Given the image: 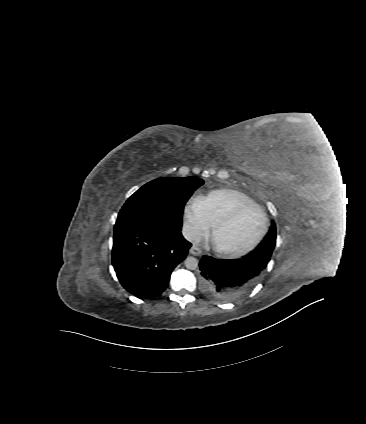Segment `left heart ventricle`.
<instances>
[{
    "label": "left heart ventricle",
    "instance_id": "obj_1",
    "mask_svg": "<svg viewBox=\"0 0 366 424\" xmlns=\"http://www.w3.org/2000/svg\"><path fill=\"white\" fill-rule=\"evenodd\" d=\"M263 227V217L259 210L250 208L240 213L232 222L221 227L216 235V243L228 249H240L253 242Z\"/></svg>",
    "mask_w": 366,
    "mask_h": 424
}]
</instances>
